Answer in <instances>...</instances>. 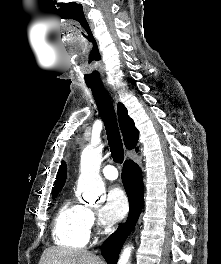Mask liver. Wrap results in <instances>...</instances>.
<instances>
[{"label":"liver","instance_id":"1","mask_svg":"<svg viewBox=\"0 0 221 264\" xmlns=\"http://www.w3.org/2000/svg\"><path fill=\"white\" fill-rule=\"evenodd\" d=\"M38 264H105L92 252L81 249L50 247L45 249Z\"/></svg>","mask_w":221,"mask_h":264}]
</instances>
